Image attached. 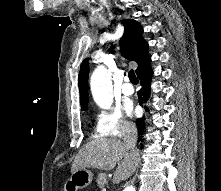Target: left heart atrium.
Masks as SVG:
<instances>
[{
    "instance_id": "39dd6f15",
    "label": "left heart atrium",
    "mask_w": 221,
    "mask_h": 191,
    "mask_svg": "<svg viewBox=\"0 0 221 191\" xmlns=\"http://www.w3.org/2000/svg\"><path fill=\"white\" fill-rule=\"evenodd\" d=\"M126 112L129 114V115H132L134 110H133V106L131 104H127L126 105Z\"/></svg>"
}]
</instances>
